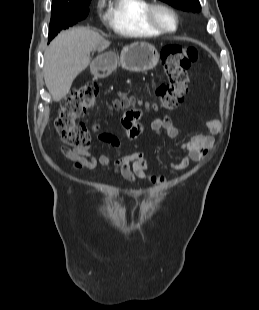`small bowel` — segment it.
Segmentation results:
<instances>
[{"label":"small bowel","instance_id":"1","mask_svg":"<svg viewBox=\"0 0 259 310\" xmlns=\"http://www.w3.org/2000/svg\"><path fill=\"white\" fill-rule=\"evenodd\" d=\"M139 117V110L127 112L121 118L122 133L103 132L97 136L98 141L121 152L124 141H133L144 132L143 125L138 121ZM150 127L155 134L165 133L169 139H174L178 135L177 127L168 116L153 119ZM203 127L209 132L217 134L221 130V123L218 120H208L203 123ZM213 145L212 135L196 134L181 144L180 148L185 152V155L178 162L168 164V167L176 171L184 170L191 162L202 160ZM59 153L72 162V168L75 170H87L95 173L110 163L109 155L102 154L96 157L91 153V148L86 146L76 149L62 146L59 148ZM115 173L128 182L143 180L151 184H161L168 180L166 176L153 175L148 172L145 157L141 152L121 154L115 162Z\"/></svg>","mask_w":259,"mask_h":310}]
</instances>
